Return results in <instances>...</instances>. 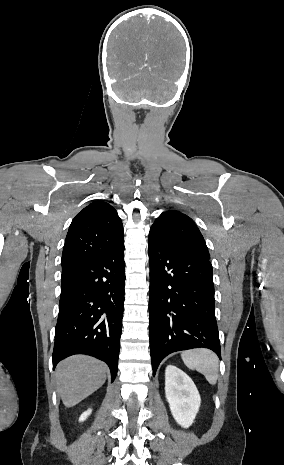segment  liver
I'll return each instance as SVG.
<instances>
[{"mask_svg":"<svg viewBox=\"0 0 284 465\" xmlns=\"http://www.w3.org/2000/svg\"><path fill=\"white\" fill-rule=\"evenodd\" d=\"M107 367L93 357L76 355L56 367V385L63 405L74 407L92 395L106 381Z\"/></svg>","mask_w":284,"mask_h":465,"instance_id":"liver-1","label":"liver"}]
</instances>
